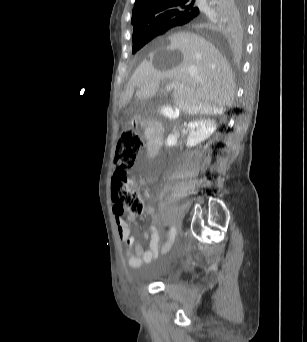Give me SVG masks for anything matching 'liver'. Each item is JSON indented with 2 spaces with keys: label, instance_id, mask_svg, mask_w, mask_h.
<instances>
[{
  "label": "liver",
  "instance_id": "6515ba94",
  "mask_svg": "<svg viewBox=\"0 0 307 342\" xmlns=\"http://www.w3.org/2000/svg\"><path fill=\"white\" fill-rule=\"evenodd\" d=\"M165 78L175 82L173 100L183 114H223L224 106L233 102L232 70L219 50L197 34L178 32L144 56L122 94L119 108L133 96L153 98Z\"/></svg>",
  "mask_w": 307,
  "mask_h": 342
}]
</instances>
